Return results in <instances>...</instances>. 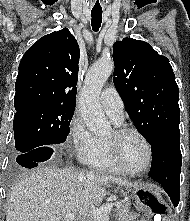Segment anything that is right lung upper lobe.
<instances>
[{
	"label": "right lung upper lobe",
	"instance_id": "right-lung-upper-lobe-1",
	"mask_svg": "<svg viewBox=\"0 0 190 221\" xmlns=\"http://www.w3.org/2000/svg\"><path fill=\"white\" fill-rule=\"evenodd\" d=\"M79 57V45L67 28L34 43L19 64L16 111L41 105L74 108Z\"/></svg>",
	"mask_w": 190,
	"mask_h": 221
}]
</instances>
